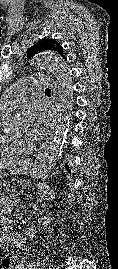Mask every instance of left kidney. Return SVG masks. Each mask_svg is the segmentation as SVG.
Returning a JSON list of instances; mask_svg holds the SVG:
<instances>
[{"instance_id": "left-kidney-1", "label": "left kidney", "mask_w": 118, "mask_h": 269, "mask_svg": "<svg viewBox=\"0 0 118 269\" xmlns=\"http://www.w3.org/2000/svg\"><path fill=\"white\" fill-rule=\"evenodd\" d=\"M38 195L46 200H54L55 199V193L46 183H40L38 185ZM39 224L43 226H48L50 223V218L49 217H42L38 218Z\"/></svg>"}]
</instances>
